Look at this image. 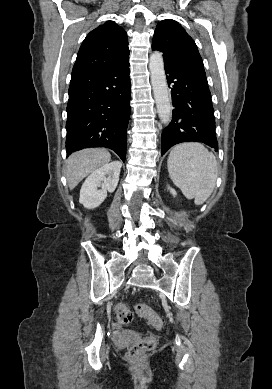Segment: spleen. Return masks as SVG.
<instances>
[{
	"instance_id": "obj_1",
	"label": "spleen",
	"mask_w": 272,
	"mask_h": 389,
	"mask_svg": "<svg viewBox=\"0 0 272 389\" xmlns=\"http://www.w3.org/2000/svg\"><path fill=\"white\" fill-rule=\"evenodd\" d=\"M168 172L173 183L187 199L200 205L211 195L217 178V161L202 144L175 146L168 158Z\"/></svg>"
}]
</instances>
